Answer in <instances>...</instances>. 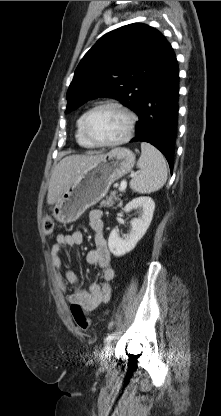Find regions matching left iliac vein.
Listing matches in <instances>:
<instances>
[{"label":"left iliac vein","mask_w":221,"mask_h":416,"mask_svg":"<svg viewBox=\"0 0 221 416\" xmlns=\"http://www.w3.org/2000/svg\"><path fill=\"white\" fill-rule=\"evenodd\" d=\"M111 349H112V345L111 344H108V345H106L105 347H104V355L102 356V359H103V357H105L109 352H111Z\"/></svg>","instance_id":"4c4485c4"}]
</instances>
